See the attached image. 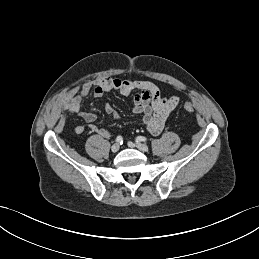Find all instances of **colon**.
Instances as JSON below:
<instances>
[{
  "mask_svg": "<svg viewBox=\"0 0 259 259\" xmlns=\"http://www.w3.org/2000/svg\"><path fill=\"white\" fill-rule=\"evenodd\" d=\"M183 110H184L185 112H188V113L193 112L194 106H193L191 103H189V102H185V103L183 104Z\"/></svg>",
  "mask_w": 259,
  "mask_h": 259,
  "instance_id": "colon-1",
  "label": "colon"
}]
</instances>
